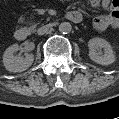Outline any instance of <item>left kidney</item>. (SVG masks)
Wrapping results in <instances>:
<instances>
[{
    "label": "left kidney",
    "instance_id": "1",
    "mask_svg": "<svg viewBox=\"0 0 119 119\" xmlns=\"http://www.w3.org/2000/svg\"><path fill=\"white\" fill-rule=\"evenodd\" d=\"M89 57L92 61L101 65H110L115 61V55L109 42L102 38H92L88 42ZM104 49V54L100 51Z\"/></svg>",
    "mask_w": 119,
    "mask_h": 119
}]
</instances>
